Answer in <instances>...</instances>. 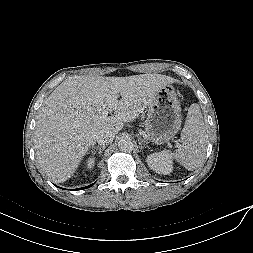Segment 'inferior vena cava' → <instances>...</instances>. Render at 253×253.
I'll return each mask as SVG.
<instances>
[{
	"instance_id": "602c4592",
	"label": "inferior vena cava",
	"mask_w": 253,
	"mask_h": 253,
	"mask_svg": "<svg viewBox=\"0 0 253 253\" xmlns=\"http://www.w3.org/2000/svg\"><path fill=\"white\" fill-rule=\"evenodd\" d=\"M114 138L115 132L108 128H105L98 132L96 141L98 144L105 146L112 143Z\"/></svg>"
}]
</instances>
